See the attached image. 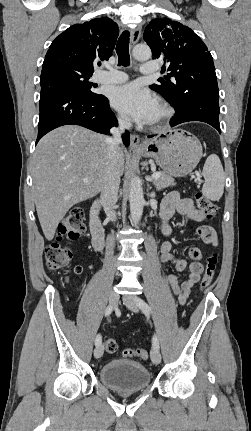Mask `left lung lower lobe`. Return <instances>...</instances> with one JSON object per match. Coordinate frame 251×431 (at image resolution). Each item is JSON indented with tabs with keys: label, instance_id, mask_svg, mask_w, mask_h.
<instances>
[{
	"label": "left lung lower lobe",
	"instance_id": "left-lung-lower-lobe-1",
	"mask_svg": "<svg viewBox=\"0 0 251 431\" xmlns=\"http://www.w3.org/2000/svg\"><path fill=\"white\" fill-rule=\"evenodd\" d=\"M219 96L216 95H195L188 98L184 104L175 109V117L171 119L172 127L188 122L202 121L210 124L221 133L219 125ZM149 138L153 135L148 136Z\"/></svg>",
	"mask_w": 251,
	"mask_h": 431
}]
</instances>
